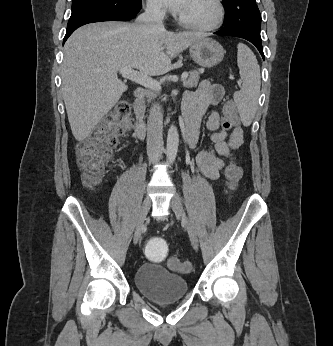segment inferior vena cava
Here are the masks:
<instances>
[{"label":"inferior vena cava","instance_id":"obj_1","mask_svg":"<svg viewBox=\"0 0 333 346\" xmlns=\"http://www.w3.org/2000/svg\"><path fill=\"white\" fill-rule=\"evenodd\" d=\"M165 12L158 4L148 5L145 12L139 15L136 22L144 25L150 30H164L163 19ZM162 109L158 104H153L149 111L147 121V154L149 162L156 164L162 156Z\"/></svg>","mask_w":333,"mask_h":346}]
</instances>
